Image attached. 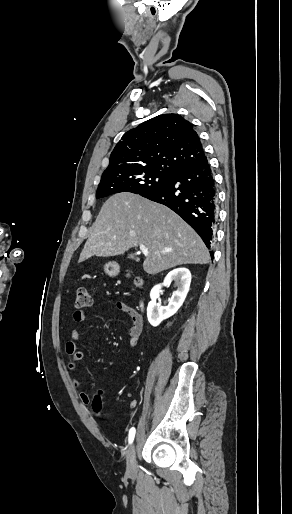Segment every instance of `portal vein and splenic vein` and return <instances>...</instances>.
Segmentation results:
<instances>
[{
    "mask_svg": "<svg viewBox=\"0 0 292 514\" xmlns=\"http://www.w3.org/2000/svg\"><path fill=\"white\" fill-rule=\"evenodd\" d=\"M140 250L142 252V254H149L147 248H145V246H140ZM164 252H172V250H164Z\"/></svg>",
    "mask_w": 292,
    "mask_h": 514,
    "instance_id": "obj_1",
    "label": "portal vein and splenic vein"
}]
</instances>
